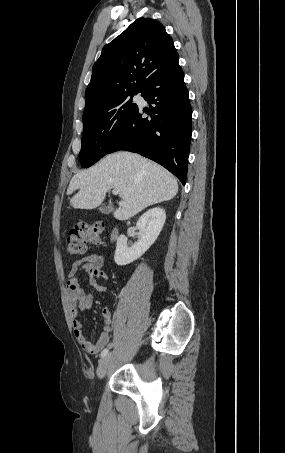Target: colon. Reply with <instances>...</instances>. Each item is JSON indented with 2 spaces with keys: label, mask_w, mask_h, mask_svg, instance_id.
Masks as SVG:
<instances>
[{
  "label": "colon",
  "mask_w": 285,
  "mask_h": 453,
  "mask_svg": "<svg viewBox=\"0 0 285 453\" xmlns=\"http://www.w3.org/2000/svg\"><path fill=\"white\" fill-rule=\"evenodd\" d=\"M104 231L102 222L93 224L81 223L76 225L66 240V251L69 255L75 256L86 251L87 245L97 243Z\"/></svg>",
  "instance_id": "obj_1"
}]
</instances>
